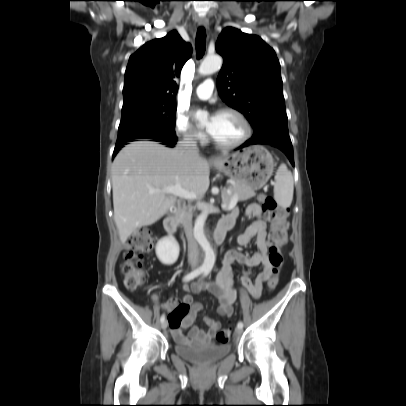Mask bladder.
Instances as JSON below:
<instances>
[{
  "mask_svg": "<svg viewBox=\"0 0 406 406\" xmlns=\"http://www.w3.org/2000/svg\"><path fill=\"white\" fill-rule=\"evenodd\" d=\"M174 351L183 359L205 364L217 361L226 356L230 352V346L227 344L197 346L190 343L176 342Z\"/></svg>",
  "mask_w": 406,
  "mask_h": 406,
  "instance_id": "31cf9c89",
  "label": "bladder"
}]
</instances>
